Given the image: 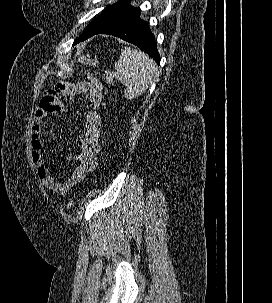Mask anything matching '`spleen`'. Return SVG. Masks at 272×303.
<instances>
[{
	"mask_svg": "<svg viewBox=\"0 0 272 303\" xmlns=\"http://www.w3.org/2000/svg\"><path fill=\"white\" fill-rule=\"evenodd\" d=\"M157 73L155 62L148 55L124 47L119 60L115 63L113 76L125 85V97L133 100L141 96L154 83Z\"/></svg>",
	"mask_w": 272,
	"mask_h": 303,
	"instance_id": "obj_1",
	"label": "spleen"
}]
</instances>
